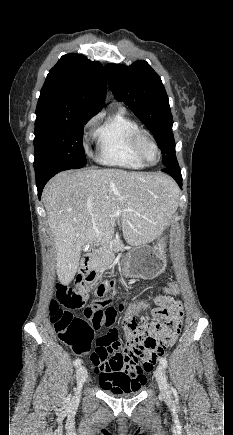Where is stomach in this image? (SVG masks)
Instances as JSON below:
<instances>
[{
    "mask_svg": "<svg viewBox=\"0 0 233 435\" xmlns=\"http://www.w3.org/2000/svg\"><path fill=\"white\" fill-rule=\"evenodd\" d=\"M168 236L160 234L153 246H136L124 260L122 274L127 278L153 279L165 271Z\"/></svg>",
    "mask_w": 233,
    "mask_h": 435,
    "instance_id": "stomach-1",
    "label": "stomach"
}]
</instances>
